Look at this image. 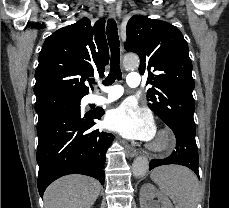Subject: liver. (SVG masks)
<instances>
[{
	"label": "liver",
	"instance_id": "liver-1",
	"mask_svg": "<svg viewBox=\"0 0 229 208\" xmlns=\"http://www.w3.org/2000/svg\"><path fill=\"white\" fill-rule=\"evenodd\" d=\"M101 192V184L88 176H64L44 192L45 208H91Z\"/></svg>",
	"mask_w": 229,
	"mask_h": 208
}]
</instances>
